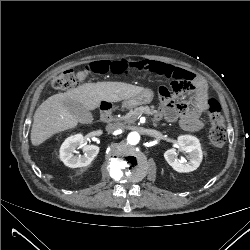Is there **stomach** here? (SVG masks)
Instances as JSON below:
<instances>
[{
	"label": "stomach",
	"mask_w": 250,
	"mask_h": 250,
	"mask_svg": "<svg viewBox=\"0 0 250 250\" xmlns=\"http://www.w3.org/2000/svg\"><path fill=\"white\" fill-rule=\"evenodd\" d=\"M153 97L154 93L151 89H144L136 96L126 99L123 105L127 108H132L143 104H149L153 100Z\"/></svg>",
	"instance_id": "0dacf381"
}]
</instances>
